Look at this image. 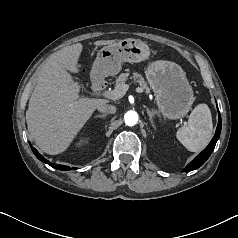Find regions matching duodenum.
I'll list each match as a JSON object with an SVG mask.
<instances>
[{
    "mask_svg": "<svg viewBox=\"0 0 238 238\" xmlns=\"http://www.w3.org/2000/svg\"><path fill=\"white\" fill-rule=\"evenodd\" d=\"M94 87L97 89V90H101L105 87V82L104 80H101V79H95L94 80Z\"/></svg>",
    "mask_w": 238,
    "mask_h": 238,
    "instance_id": "duodenum-1",
    "label": "duodenum"
}]
</instances>
